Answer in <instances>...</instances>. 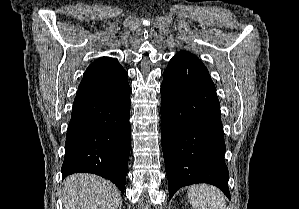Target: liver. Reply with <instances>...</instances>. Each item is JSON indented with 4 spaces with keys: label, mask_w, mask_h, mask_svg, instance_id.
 I'll list each match as a JSON object with an SVG mask.
<instances>
[{
    "label": "liver",
    "mask_w": 299,
    "mask_h": 209,
    "mask_svg": "<svg viewBox=\"0 0 299 209\" xmlns=\"http://www.w3.org/2000/svg\"><path fill=\"white\" fill-rule=\"evenodd\" d=\"M62 200L64 209H118L121 194L99 176L78 173L64 180Z\"/></svg>",
    "instance_id": "obj_1"
}]
</instances>
